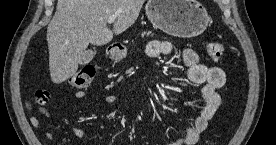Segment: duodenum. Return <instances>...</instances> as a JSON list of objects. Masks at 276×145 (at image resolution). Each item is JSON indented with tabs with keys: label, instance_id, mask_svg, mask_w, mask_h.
<instances>
[{
	"label": "duodenum",
	"instance_id": "obj_1",
	"mask_svg": "<svg viewBox=\"0 0 276 145\" xmlns=\"http://www.w3.org/2000/svg\"><path fill=\"white\" fill-rule=\"evenodd\" d=\"M121 47H113L111 50H110V53L111 54H116L120 51Z\"/></svg>",
	"mask_w": 276,
	"mask_h": 145
}]
</instances>
